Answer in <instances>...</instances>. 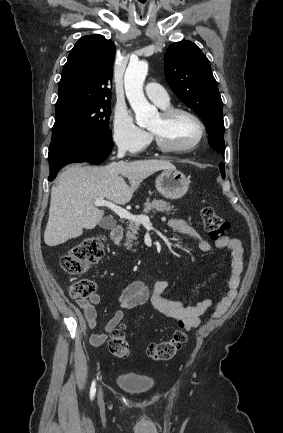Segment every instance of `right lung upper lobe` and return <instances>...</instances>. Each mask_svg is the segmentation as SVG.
Instances as JSON below:
<instances>
[{"label":"right lung upper lobe","instance_id":"obj_1","mask_svg":"<svg viewBox=\"0 0 283 433\" xmlns=\"http://www.w3.org/2000/svg\"><path fill=\"white\" fill-rule=\"evenodd\" d=\"M114 56L112 40L98 34L82 37L64 65L56 111L82 103L110 101Z\"/></svg>","mask_w":283,"mask_h":433}]
</instances>
